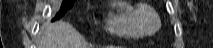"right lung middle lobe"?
<instances>
[{
    "label": "right lung middle lobe",
    "instance_id": "1",
    "mask_svg": "<svg viewBox=\"0 0 213 48\" xmlns=\"http://www.w3.org/2000/svg\"><path fill=\"white\" fill-rule=\"evenodd\" d=\"M73 5H74V0H63L61 8L59 12L57 13L56 17L53 18V21L63 16L67 12V10L72 8Z\"/></svg>",
    "mask_w": 213,
    "mask_h": 48
}]
</instances>
